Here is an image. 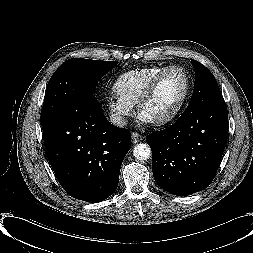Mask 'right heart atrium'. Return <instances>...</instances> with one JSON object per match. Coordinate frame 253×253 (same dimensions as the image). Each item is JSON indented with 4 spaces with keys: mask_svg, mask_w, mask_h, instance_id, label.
<instances>
[{
    "mask_svg": "<svg viewBox=\"0 0 253 253\" xmlns=\"http://www.w3.org/2000/svg\"><path fill=\"white\" fill-rule=\"evenodd\" d=\"M107 107L113 117L120 123L124 122L132 113V106L118 96L109 97Z\"/></svg>",
    "mask_w": 253,
    "mask_h": 253,
    "instance_id": "right-heart-atrium-1",
    "label": "right heart atrium"
}]
</instances>
